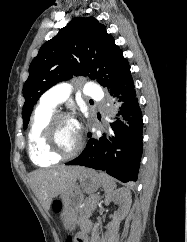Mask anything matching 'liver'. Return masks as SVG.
I'll list each match as a JSON object with an SVG mask.
<instances>
[{"label":"liver","instance_id":"6515ba94","mask_svg":"<svg viewBox=\"0 0 187 242\" xmlns=\"http://www.w3.org/2000/svg\"><path fill=\"white\" fill-rule=\"evenodd\" d=\"M83 168L58 166L31 174L30 183L45 210L50 209L54 198L65 194L72 187Z\"/></svg>","mask_w":187,"mask_h":242}]
</instances>
